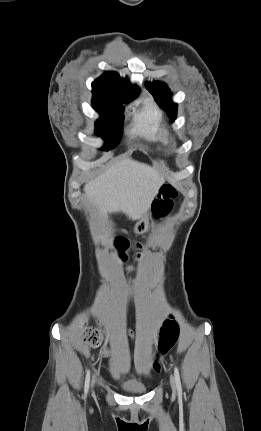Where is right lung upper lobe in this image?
<instances>
[{"instance_id":"obj_1","label":"right lung upper lobe","mask_w":261,"mask_h":431,"mask_svg":"<svg viewBox=\"0 0 261 431\" xmlns=\"http://www.w3.org/2000/svg\"><path fill=\"white\" fill-rule=\"evenodd\" d=\"M93 92L105 93L121 100H132L140 92L136 85L132 86L127 79H121L116 72H105L92 83ZM125 93V95H123Z\"/></svg>"}]
</instances>
